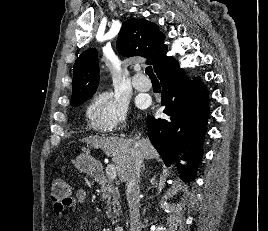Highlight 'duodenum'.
Here are the masks:
<instances>
[{"mask_svg": "<svg viewBox=\"0 0 268 231\" xmlns=\"http://www.w3.org/2000/svg\"><path fill=\"white\" fill-rule=\"evenodd\" d=\"M95 177L97 178V180L98 181H100V182H106V176L104 175V173L103 172H101V171H98V172H96L95 173ZM114 231H124V228L123 227H121V226H117L115 229H114Z\"/></svg>", "mask_w": 268, "mask_h": 231, "instance_id": "410a0bca", "label": "duodenum"}]
</instances>
